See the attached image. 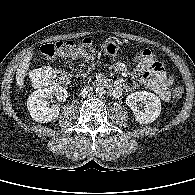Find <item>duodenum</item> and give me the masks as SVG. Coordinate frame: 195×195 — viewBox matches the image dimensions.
<instances>
[{
  "mask_svg": "<svg viewBox=\"0 0 195 195\" xmlns=\"http://www.w3.org/2000/svg\"><path fill=\"white\" fill-rule=\"evenodd\" d=\"M100 85L105 86L109 88L110 90L113 89V84L111 82L104 81V82H101Z\"/></svg>",
  "mask_w": 195,
  "mask_h": 195,
  "instance_id": "duodenum-1",
  "label": "duodenum"
}]
</instances>
